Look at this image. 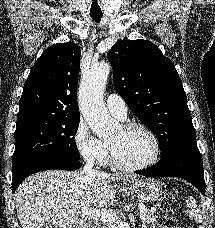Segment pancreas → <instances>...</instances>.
Segmentation results:
<instances>
[{
  "instance_id": "pancreas-1",
  "label": "pancreas",
  "mask_w": 215,
  "mask_h": 228,
  "mask_svg": "<svg viewBox=\"0 0 215 228\" xmlns=\"http://www.w3.org/2000/svg\"><path fill=\"white\" fill-rule=\"evenodd\" d=\"M140 220H142V228L144 226H147V224H155L156 218L153 216L152 210H149V208H145V210H141L140 214Z\"/></svg>"
}]
</instances>
